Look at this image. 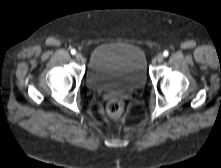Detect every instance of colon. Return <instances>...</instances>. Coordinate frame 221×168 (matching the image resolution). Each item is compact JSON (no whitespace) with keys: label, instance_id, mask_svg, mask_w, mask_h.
Wrapping results in <instances>:
<instances>
[{"label":"colon","instance_id":"1","mask_svg":"<svg viewBox=\"0 0 221 168\" xmlns=\"http://www.w3.org/2000/svg\"><path fill=\"white\" fill-rule=\"evenodd\" d=\"M107 111L114 119H121L124 115L125 107L120 99L114 98L108 102Z\"/></svg>","mask_w":221,"mask_h":168}]
</instances>
